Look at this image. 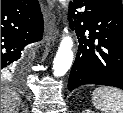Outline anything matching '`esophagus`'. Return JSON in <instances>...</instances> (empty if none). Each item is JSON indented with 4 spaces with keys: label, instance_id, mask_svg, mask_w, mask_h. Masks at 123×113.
I'll return each mask as SVG.
<instances>
[{
    "label": "esophagus",
    "instance_id": "1",
    "mask_svg": "<svg viewBox=\"0 0 123 113\" xmlns=\"http://www.w3.org/2000/svg\"><path fill=\"white\" fill-rule=\"evenodd\" d=\"M54 39H55V37L53 36V37H52V40H54Z\"/></svg>",
    "mask_w": 123,
    "mask_h": 113
}]
</instances>
